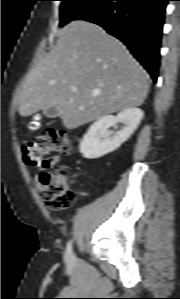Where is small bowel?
<instances>
[{
	"label": "small bowel",
	"instance_id": "obj_1",
	"mask_svg": "<svg viewBox=\"0 0 180 299\" xmlns=\"http://www.w3.org/2000/svg\"><path fill=\"white\" fill-rule=\"evenodd\" d=\"M60 160H61L60 156H52L44 161V163L40 167V170H47L53 167L54 165H56ZM37 188L38 189L42 188L40 181L37 182Z\"/></svg>",
	"mask_w": 180,
	"mask_h": 299
}]
</instances>
